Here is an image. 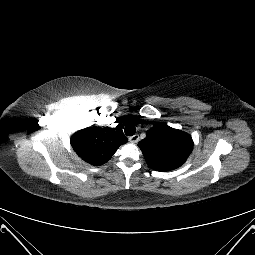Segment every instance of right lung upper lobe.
Masks as SVG:
<instances>
[{
	"mask_svg": "<svg viewBox=\"0 0 255 255\" xmlns=\"http://www.w3.org/2000/svg\"><path fill=\"white\" fill-rule=\"evenodd\" d=\"M127 140L119 126L88 127L75 132L70 139L79 157L94 166H100L110 160L118 147Z\"/></svg>",
	"mask_w": 255,
	"mask_h": 255,
	"instance_id": "right-lung-upper-lobe-1",
	"label": "right lung upper lobe"
}]
</instances>
